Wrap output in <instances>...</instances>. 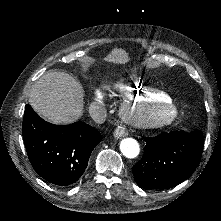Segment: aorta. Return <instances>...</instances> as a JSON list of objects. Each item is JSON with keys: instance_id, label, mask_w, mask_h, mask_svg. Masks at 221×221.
<instances>
[{"instance_id": "obj_1", "label": "aorta", "mask_w": 221, "mask_h": 221, "mask_svg": "<svg viewBox=\"0 0 221 221\" xmlns=\"http://www.w3.org/2000/svg\"><path fill=\"white\" fill-rule=\"evenodd\" d=\"M120 151L127 158H135L140 153L138 142L133 138H124L120 142Z\"/></svg>"}]
</instances>
